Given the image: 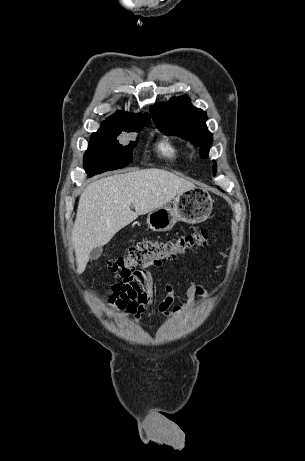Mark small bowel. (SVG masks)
I'll return each mask as SVG.
<instances>
[{
	"label": "small bowel",
	"instance_id": "c3829d8e",
	"mask_svg": "<svg viewBox=\"0 0 305 461\" xmlns=\"http://www.w3.org/2000/svg\"><path fill=\"white\" fill-rule=\"evenodd\" d=\"M161 267L162 263L155 265ZM165 297L158 305V311L163 316L178 315L186 312L197 297L208 299L207 289L190 282L186 290V302L174 305V288L167 282L164 285ZM155 283L147 270H137L130 278L114 283L107 295L110 308L121 310L125 317L138 321L143 313L148 312L154 299Z\"/></svg>",
	"mask_w": 305,
	"mask_h": 461
}]
</instances>
